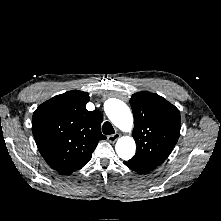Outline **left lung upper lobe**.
I'll list each match as a JSON object with an SVG mask.
<instances>
[{
	"label": "left lung upper lobe",
	"mask_w": 221,
	"mask_h": 221,
	"mask_svg": "<svg viewBox=\"0 0 221 221\" xmlns=\"http://www.w3.org/2000/svg\"><path fill=\"white\" fill-rule=\"evenodd\" d=\"M130 104L137 146L132 159L157 167L168 158L179 138L180 112L163 97L150 92L133 94Z\"/></svg>",
	"instance_id": "1"
}]
</instances>
